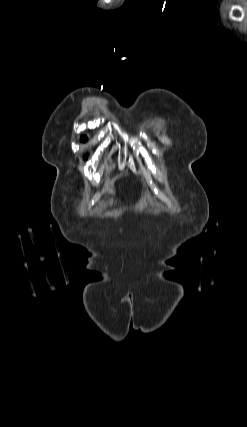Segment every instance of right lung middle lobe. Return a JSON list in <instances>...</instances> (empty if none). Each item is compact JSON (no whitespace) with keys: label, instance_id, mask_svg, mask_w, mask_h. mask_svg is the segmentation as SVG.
I'll return each mask as SVG.
<instances>
[{"label":"right lung middle lobe","instance_id":"dd1d6c3e","mask_svg":"<svg viewBox=\"0 0 247 427\" xmlns=\"http://www.w3.org/2000/svg\"><path fill=\"white\" fill-rule=\"evenodd\" d=\"M82 140L85 141L86 140V136H82Z\"/></svg>","mask_w":247,"mask_h":427}]
</instances>
